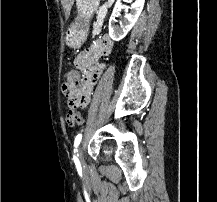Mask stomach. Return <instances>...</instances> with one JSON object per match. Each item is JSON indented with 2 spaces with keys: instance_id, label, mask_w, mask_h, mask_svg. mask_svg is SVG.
<instances>
[{
  "instance_id": "1",
  "label": "stomach",
  "mask_w": 217,
  "mask_h": 202,
  "mask_svg": "<svg viewBox=\"0 0 217 202\" xmlns=\"http://www.w3.org/2000/svg\"><path fill=\"white\" fill-rule=\"evenodd\" d=\"M100 0H76V18L66 30L65 44L78 50L86 42L90 22L99 6Z\"/></svg>"
}]
</instances>
